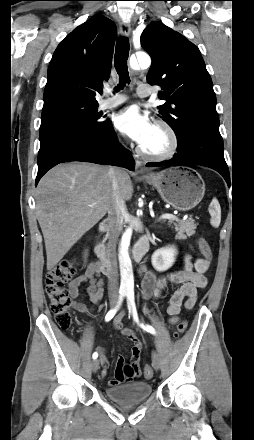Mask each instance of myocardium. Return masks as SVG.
<instances>
[{
    "mask_svg": "<svg viewBox=\"0 0 254 440\" xmlns=\"http://www.w3.org/2000/svg\"><path fill=\"white\" fill-rule=\"evenodd\" d=\"M155 127L161 129L166 134L168 139L166 148L160 152H148L139 146L137 149L138 153L143 158L154 161H164L172 158L176 154L179 147V140L176 131L167 121L163 119L156 120Z\"/></svg>",
    "mask_w": 254,
    "mask_h": 440,
    "instance_id": "myocardium-1",
    "label": "myocardium"
}]
</instances>
